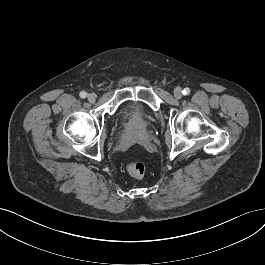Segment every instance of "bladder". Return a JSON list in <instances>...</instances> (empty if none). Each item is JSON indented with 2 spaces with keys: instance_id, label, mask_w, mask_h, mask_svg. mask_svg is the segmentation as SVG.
Wrapping results in <instances>:
<instances>
[{
  "instance_id": "bladder-1",
  "label": "bladder",
  "mask_w": 265,
  "mask_h": 265,
  "mask_svg": "<svg viewBox=\"0 0 265 265\" xmlns=\"http://www.w3.org/2000/svg\"><path fill=\"white\" fill-rule=\"evenodd\" d=\"M125 119L133 125H144L146 123L145 114L135 110V109H128L124 112Z\"/></svg>"
}]
</instances>
